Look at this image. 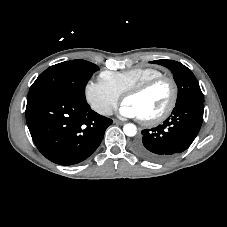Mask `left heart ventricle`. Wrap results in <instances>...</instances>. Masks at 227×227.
<instances>
[{"mask_svg": "<svg viewBox=\"0 0 227 227\" xmlns=\"http://www.w3.org/2000/svg\"><path fill=\"white\" fill-rule=\"evenodd\" d=\"M171 87L162 81L141 95L127 97L124 102L133 106L140 118H151L160 114L168 105Z\"/></svg>", "mask_w": 227, "mask_h": 227, "instance_id": "1", "label": "left heart ventricle"}]
</instances>
